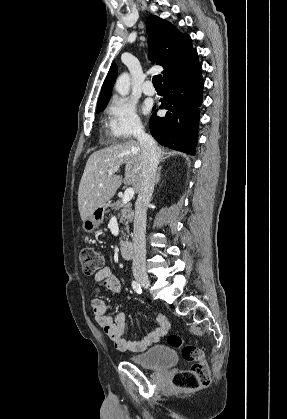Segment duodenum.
<instances>
[{"mask_svg":"<svg viewBox=\"0 0 287 419\" xmlns=\"http://www.w3.org/2000/svg\"><path fill=\"white\" fill-rule=\"evenodd\" d=\"M120 253L124 259H131L134 255V245L131 241L124 240L120 246Z\"/></svg>","mask_w":287,"mask_h":419,"instance_id":"duodenum-1","label":"duodenum"}]
</instances>
